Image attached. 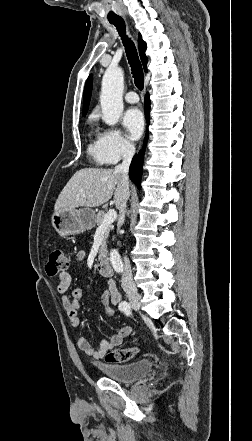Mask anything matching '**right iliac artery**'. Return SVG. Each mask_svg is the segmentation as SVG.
<instances>
[{"label":"right iliac artery","mask_w":252,"mask_h":441,"mask_svg":"<svg viewBox=\"0 0 252 441\" xmlns=\"http://www.w3.org/2000/svg\"><path fill=\"white\" fill-rule=\"evenodd\" d=\"M127 304H129V303L126 302V301L121 302V303L119 304V309H120L122 312H125V310H126V305H127Z\"/></svg>","instance_id":"1"}]
</instances>
